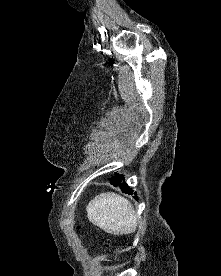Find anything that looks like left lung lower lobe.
I'll use <instances>...</instances> for the list:
<instances>
[{
	"label": "left lung lower lobe",
	"mask_w": 221,
	"mask_h": 276,
	"mask_svg": "<svg viewBox=\"0 0 221 276\" xmlns=\"http://www.w3.org/2000/svg\"><path fill=\"white\" fill-rule=\"evenodd\" d=\"M110 184H112L115 187H120L121 190L126 194H129V195L133 194V190L124 181L123 175L119 176L118 174H116L114 177L110 178Z\"/></svg>",
	"instance_id": "1"
}]
</instances>
